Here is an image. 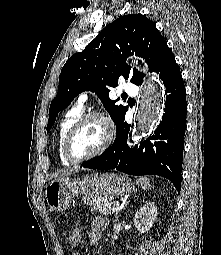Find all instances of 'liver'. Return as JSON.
<instances>
[{"mask_svg":"<svg viewBox=\"0 0 221 255\" xmlns=\"http://www.w3.org/2000/svg\"><path fill=\"white\" fill-rule=\"evenodd\" d=\"M75 173L74 170H63V171H59L55 174V176H68Z\"/></svg>","mask_w":221,"mask_h":255,"instance_id":"obj_1","label":"liver"}]
</instances>
